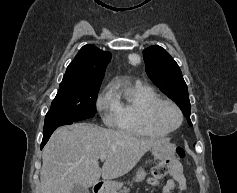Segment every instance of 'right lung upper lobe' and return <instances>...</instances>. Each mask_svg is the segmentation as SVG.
<instances>
[{
  "label": "right lung upper lobe",
  "instance_id": "1",
  "mask_svg": "<svg viewBox=\"0 0 237 193\" xmlns=\"http://www.w3.org/2000/svg\"><path fill=\"white\" fill-rule=\"evenodd\" d=\"M111 53L92 44L83 46L67 67L62 82L89 86L101 85Z\"/></svg>",
  "mask_w": 237,
  "mask_h": 193
}]
</instances>
